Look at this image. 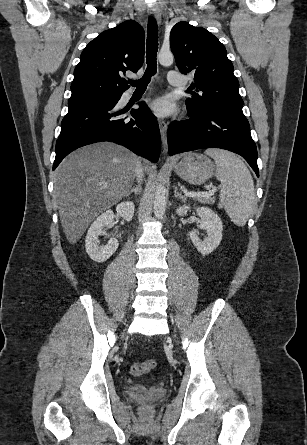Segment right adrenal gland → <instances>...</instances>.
<instances>
[{"label":"right adrenal gland","instance_id":"2a0ac1e0","mask_svg":"<svg viewBox=\"0 0 307 445\" xmlns=\"http://www.w3.org/2000/svg\"><path fill=\"white\" fill-rule=\"evenodd\" d=\"M132 192H134V194H140L141 184H136V186H133V188H131V190H129V192H127L126 196H129V194H132Z\"/></svg>","mask_w":307,"mask_h":445}]
</instances>
